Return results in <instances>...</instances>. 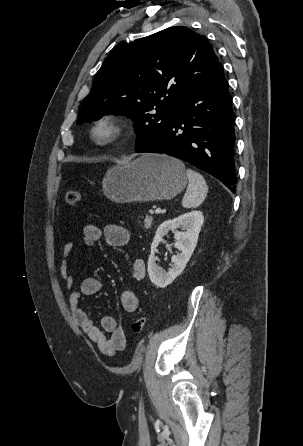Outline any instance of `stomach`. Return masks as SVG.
<instances>
[{"instance_id":"obj_1","label":"stomach","mask_w":303,"mask_h":446,"mask_svg":"<svg viewBox=\"0 0 303 446\" xmlns=\"http://www.w3.org/2000/svg\"><path fill=\"white\" fill-rule=\"evenodd\" d=\"M103 191L116 203L171 199L187 185L184 164L163 154H145L129 164L109 169Z\"/></svg>"}]
</instances>
